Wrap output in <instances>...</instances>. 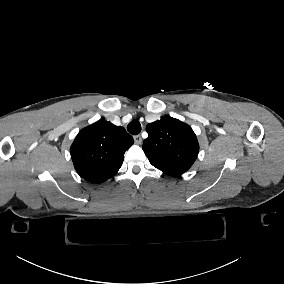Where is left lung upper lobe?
Instances as JSON below:
<instances>
[{"mask_svg": "<svg viewBox=\"0 0 284 284\" xmlns=\"http://www.w3.org/2000/svg\"><path fill=\"white\" fill-rule=\"evenodd\" d=\"M148 138L143 150L150 163L170 176H179L190 169L197 158L199 144L192 128L172 117L146 126Z\"/></svg>", "mask_w": 284, "mask_h": 284, "instance_id": "obj_1", "label": "left lung upper lobe"}]
</instances>
